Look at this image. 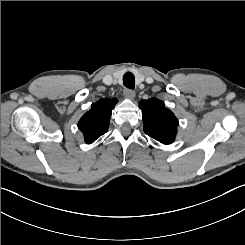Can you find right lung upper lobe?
Wrapping results in <instances>:
<instances>
[{
    "label": "right lung upper lobe",
    "mask_w": 245,
    "mask_h": 245,
    "mask_svg": "<svg viewBox=\"0 0 245 245\" xmlns=\"http://www.w3.org/2000/svg\"><path fill=\"white\" fill-rule=\"evenodd\" d=\"M117 99L103 98L92 104L90 111L86 112L78 122V128L83 132L85 142L93 143L108 130L111 111Z\"/></svg>",
    "instance_id": "obj_1"
}]
</instances>
